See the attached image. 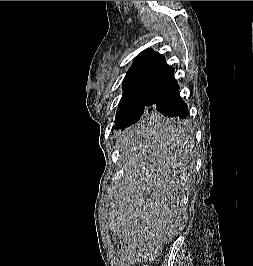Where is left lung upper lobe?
<instances>
[{
	"instance_id": "obj_1",
	"label": "left lung upper lobe",
	"mask_w": 253,
	"mask_h": 266,
	"mask_svg": "<svg viewBox=\"0 0 253 266\" xmlns=\"http://www.w3.org/2000/svg\"><path fill=\"white\" fill-rule=\"evenodd\" d=\"M164 57L151 49L144 50L134 60L123 80L115 125L130 126L152 115L145 114L147 94Z\"/></svg>"
}]
</instances>
